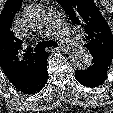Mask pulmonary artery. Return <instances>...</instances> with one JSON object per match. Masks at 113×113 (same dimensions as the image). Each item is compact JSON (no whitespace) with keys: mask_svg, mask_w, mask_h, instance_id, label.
Returning <instances> with one entry per match:
<instances>
[{"mask_svg":"<svg viewBox=\"0 0 113 113\" xmlns=\"http://www.w3.org/2000/svg\"><path fill=\"white\" fill-rule=\"evenodd\" d=\"M48 25L47 28L52 33H58L62 42L68 47H77L80 45V41L76 35H73L67 27L63 24L61 17L54 10L48 12Z\"/></svg>","mask_w":113,"mask_h":113,"instance_id":"obj_1","label":"pulmonary artery"}]
</instances>
